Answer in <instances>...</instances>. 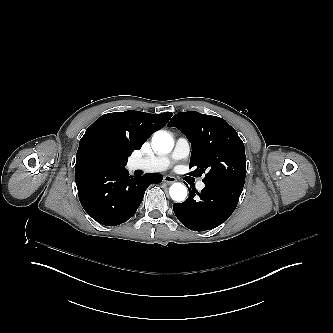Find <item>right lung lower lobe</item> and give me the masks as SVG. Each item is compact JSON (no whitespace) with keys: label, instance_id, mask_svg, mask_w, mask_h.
Returning a JSON list of instances; mask_svg holds the SVG:
<instances>
[{"label":"right lung lower lobe","instance_id":"1","mask_svg":"<svg viewBox=\"0 0 333 333\" xmlns=\"http://www.w3.org/2000/svg\"><path fill=\"white\" fill-rule=\"evenodd\" d=\"M75 180L84 210L98 223L116 226L135 214L147 187L160 183L162 175L132 177L124 167L114 169L84 162L75 165Z\"/></svg>","mask_w":333,"mask_h":333}]
</instances>
